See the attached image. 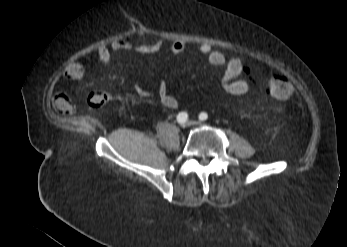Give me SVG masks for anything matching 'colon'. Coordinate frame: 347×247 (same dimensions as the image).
Wrapping results in <instances>:
<instances>
[{
  "label": "colon",
  "mask_w": 347,
  "mask_h": 247,
  "mask_svg": "<svg viewBox=\"0 0 347 247\" xmlns=\"http://www.w3.org/2000/svg\"><path fill=\"white\" fill-rule=\"evenodd\" d=\"M268 92L275 98L285 99L292 94V85L288 79L281 75H275L268 81ZM108 101V95L103 91H94L88 96V102L93 108H100Z\"/></svg>",
  "instance_id": "1"
}]
</instances>
